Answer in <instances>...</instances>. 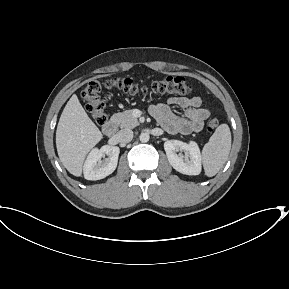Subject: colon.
Masks as SVG:
<instances>
[{"label": "colon", "instance_id": "5ec220e1", "mask_svg": "<svg viewBox=\"0 0 289 289\" xmlns=\"http://www.w3.org/2000/svg\"><path fill=\"white\" fill-rule=\"evenodd\" d=\"M103 89H118L130 95L167 94L184 95L189 93L190 86L181 76H169L153 81L150 84H139L130 78H114L105 82L90 81L82 90V97L86 102L87 111L98 125L107 122L105 104L100 97ZM220 124L217 116H210L207 121V130L213 132Z\"/></svg>", "mask_w": 289, "mask_h": 289}]
</instances>
